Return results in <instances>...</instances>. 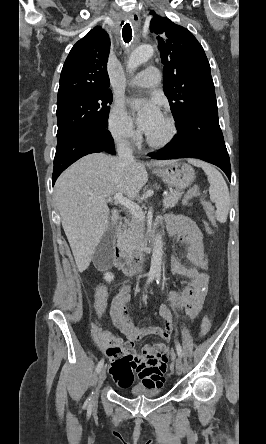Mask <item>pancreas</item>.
Returning a JSON list of instances; mask_svg holds the SVG:
<instances>
[{
	"label": "pancreas",
	"mask_w": 266,
	"mask_h": 444,
	"mask_svg": "<svg viewBox=\"0 0 266 444\" xmlns=\"http://www.w3.org/2000/svg\"><path fill=\"white\" fill-rule=\"evenodd\" d=\"M183 192L180 190L171 191L163 200V206L165 209L174 207L180 200ZM145 229V217H137L134 214L129 223L127 230V241L130 243L133 249H137Z\"/></svg>",
	"instance_id": "1"
}]
</instances>
